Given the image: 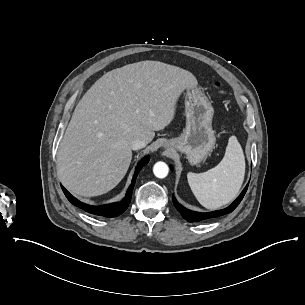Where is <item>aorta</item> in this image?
<instances>
[{
  "mask_svg": "<svg viewBox=\"0 0 305 305\" xmlns=\"http://www.w3.org/2000/svg\"><path fill=\"white\" fill-rule=\"evenodd\" d=\"M169 168L164 162H157L153 166V173L157 178H165L168 175Z\"/></svg>",
  "mask_w": 305,
  "mask_h": 305,
  "instance_id": "1",
  "label": "aorta"
}]
</instances>
